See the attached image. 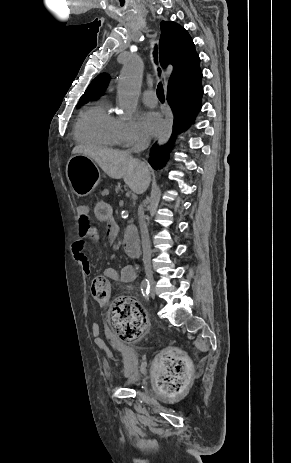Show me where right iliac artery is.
Instances as JSON below:
<instances>
[{
	"instance_id": "1",
	"label": "right iliac artery",
	"mask_w": 291,
	"mask_h": 463,
	"mask_svg": "<svg viewBox=\"0 0 291 463\" xmlns=\"http://www.w3.org/2000/svg\"><path fill=\"white\" fill-rule=\"evenodd\" d=\"M141 292H142L143 296L146 299H148V295H149V292H150V284H149V281L147 279H144L141 282Z\"/></svg>"
}]
</instances>
